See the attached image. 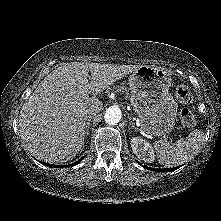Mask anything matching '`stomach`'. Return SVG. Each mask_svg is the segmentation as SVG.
<instances>
[{
	"label": "stomach",
	"instance_id": "1",
	"mask_svg": "<svg viewBox=\"0 0 221 221\" xmlns=\"http://www.w3.org/2000/svg\"><path fill=\"white\" fill-rule=\"evenodd\" d=\"M172 78L165 68L141 65L129 77L130 102L141 128L154 136L173 129L177 103L169 93Z\"/></svg>",
	"mask_w": 221,
	"mask_h": 221
}]
</instances>
